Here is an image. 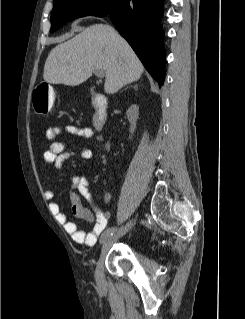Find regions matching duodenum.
<instances>
[{
    "instance_id": "410a0bca",
    "label": "duodenum",
    "mask_w": 245,
    "mask_h": 319,
    "mask_svg": "<svg viewBox=\"0 0 245 319\" xmlns=\"http://www.w3.org/2000/svg\"><path fill=\"white\" fill-rule=\"evenodd\" d=\"M92 106L94 114L92 117V125L97 131H102L107 121L108 102L105 96L96 94L92 98Z\"/></svg>"
}]
</instances>
